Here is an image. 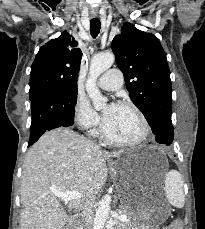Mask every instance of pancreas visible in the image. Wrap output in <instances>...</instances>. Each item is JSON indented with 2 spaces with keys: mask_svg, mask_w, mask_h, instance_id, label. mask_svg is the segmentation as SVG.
<instances>
[{
  "mask_svg": "<svg viewBox=\"0 0 205 229\" xmlns=\"http://www.w3.org/2000/svg\"><path fill=\"white\" fill-rule=\"evenodd\" d=\"M125 214V213H122ZM136 223L134 221L128 220L125 222L118 223L116 229H137L135 228Z\"/></svg>",
  "mask_w": 205,
  "mask_h": 229,
  "instance_id": "obj_1",
  "label": "pancreas"
}]
</instances>
